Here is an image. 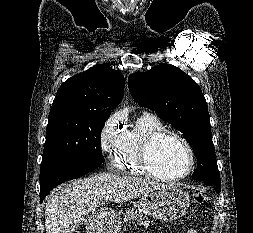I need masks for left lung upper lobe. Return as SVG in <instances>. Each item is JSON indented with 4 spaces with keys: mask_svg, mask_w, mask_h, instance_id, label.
I'll return each mask as SVG.
<instances>
[{
    "mask_svg": "<svg viewBox=\"0 0 253 233\" xmlns=\"http://www.w3.org/2000/svg\"><path fill=\"white\" fill-rule=\"evenodd\" d=\"M134 100L176 127L197 157L193 179L221 183L215 161L207 103L198 84L179 68L161 63L145 73L130 75Z\"/></svg>",
    "mask_w": 253,
    "mask_h": 233,
    "instance_id": "5c2ea615",
    "label": "left lung upper lobe"
}]
</instances>
